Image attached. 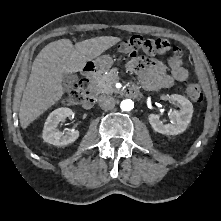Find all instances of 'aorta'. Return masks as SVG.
<instances>
[{
  "instance_id": "aorta-1",
  "label": "aorta",
  "mask_w": 221,
  "mask_h": 221,
  "mask_svg": "<svg viewBox=\"0 0 221 221\" xmlns=\"http://www.w3.org/2000/svg\"><path fill=\"white\" fill-rule=\"evenodd\" d=\"M134 107V102L130 99H125L121 102L120 108L123 111H130Z\"/></svg>"
}]
</instances>
